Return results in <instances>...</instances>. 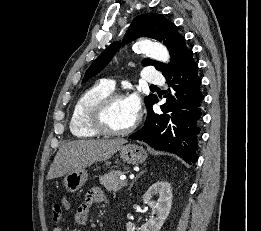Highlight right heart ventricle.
Listing matches in <instances>:
<instances>
[{
    "instance_id": "right-heart-ventricle-1",
    "label": "right heart ventricle",
    "mask_w": 261,
    "mask_h": 231,
    "mask_svg": "<svg viewBox=\"0 0 261 231\" xmlns=\"http://www.w3.org/2000/svg\"><path fill=\"white\" fill-rule=\"evenodd\" d=\"M106 85H95L78 99L70 115V130L75 137L90 138L99 136L101 133L96 131L90 124V111L92 107L103 97L110 94Z\"/></svg>"
}]
</instances>
